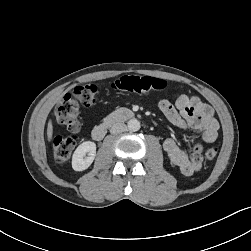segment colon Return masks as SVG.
<instances>
[{"label": "colon", "mask_w": 251, "mask_h": 251, "mask_svg": "<svg viewBox=\"0 0 251 251\" xmlns=\"http://www.w3.org/2000/svg\"><path fill=\"white\" fill-rule=\"evenodd\" d=\"M165 80L149 76H122L111 83V88L116 91L150 94L159 92L166 88ZM97 86L94 84H84L74 87L69 93L57 103L55 107V117L57 122L73 133L71 136H56L52 140V150L55 160L66 163L75 148L77 137L74 135L80 129L78 120L79 106H90L95 102ZM218 154L215 146L209 147L205 151V158L213 161Z\"/></svg>", "instance_id": "colon-1"}]
</instances>
